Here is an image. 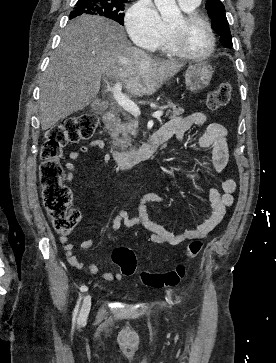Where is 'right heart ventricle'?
<instances>
[{"instance_id":"right-heart-ventricle-1","label":"right heart ventricle","mask_w":276,"mask_h":363,"mask_svg":"<svg viewBox=\"0 0 276 363\" xmlns=\"http://www.w3.org/2000/svg\"><path fill=\"white\" fill-rule=\"evenodd\" d=\"M186 11H191L194 8H184ZM167 27V32L166 35L164 37V39L162 40V42L160 43L159 47L163 52L176 56L178 55L177 52L173 49L172 44H171V39H170V27Z\"/></svg>"}]
</instances>
